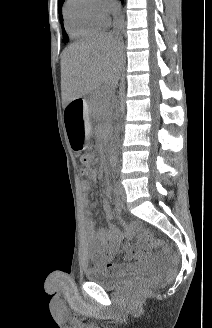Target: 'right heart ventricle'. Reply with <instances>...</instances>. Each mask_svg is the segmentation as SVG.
<instances>
[{
	"label": "right heart ventricle",
	"instance_id": "e07e8e85",
	"mask_svg": "<svg viewBox=\"0 0 212 328\" xmlns=\"http://www.w3.org/2000/svg\"><path fill=\"white\" fill-rule=\"evenodd\" d=\"M64 20L68 33L74 38L90 36L106 25V21L94 12L90 0H67Z\"/></svg>",
	"mask_w": 212,
	"mask_h": 328
}]
</instances>
